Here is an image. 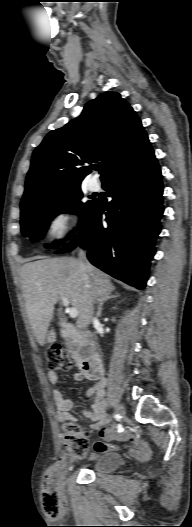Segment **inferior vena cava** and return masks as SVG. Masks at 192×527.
I'll list each match as a JSON object with an SVG mask.
<instances>
[{
  "label": "inferior vena cava",
  "mask_w": 192,
  "mask_h": 527,
  "mask_svg": "<svg viewBox=\"0 0 192 527\" xmlns=\"http://www.w3.org/2000/svg\"><path fill=\"white\" fill-rule=\"evenodd\" d=\"M78 260H79V263H80L82 271L85 272V270L89 266V263H88V261L86 259L85 252L82 249H79ZM84 279H85L86 282H88V276L85 273H84ZM95 320H96V318H93V321H95Z\"/></svg>",
  "instance_id": "inferior-vena-cava-1"
}]
</instances>
